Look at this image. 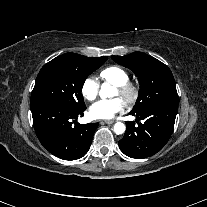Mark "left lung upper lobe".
Returning a JSON list of instances; mask_svg holds the SVG:
<instances>
[{
	"mask_svg": "<svg viewBox=\"0 0 207 207\" xmlns=\"http://www.w3.org/2000/svg\"><path fill=\"white\" fill-rule=\"evenodd\" d=\"M112 59L132 70L138 77L140 93L131 113H142L156 105L178 106L175 81L164 63L141 52L127 56H112Z\"/></svg>",
	"mask_w": 207,
	"mask_h": 207,
	"instance_id": "5c2ea615",
	"label": "left lung upper lobe"
}]
</instances>
